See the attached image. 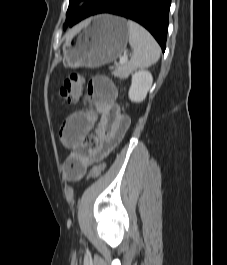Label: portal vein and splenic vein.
Listing matches in <instances>:
<instances>
[{"mask_svg":"<svg viewBox=\"0 0 227 265\" xmlns=\"http://www.w3.org/2000/svg\"><path fill=\"white\" fill-rule=\"evenodd\" d=\"M127 58H128V54L125 52V53L121 56L119 64H120V65H123V64L127 61Z\"/></svg>","mask_w":227,"mask_h":265,"instance_id":"obj_1","label":"portal vein and splenic vein"}]
</instances>
